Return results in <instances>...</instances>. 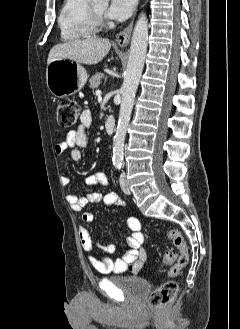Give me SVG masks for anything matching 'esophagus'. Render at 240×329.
<instances>
[{"mask_svg": "<svg viewBox=\"0 0 240 329\" xmlns=\"http://www.w3.org/2000/svg\"><path fill=\"white\" fill-rule=\"evenodd\" d=\"M138 3H139V0H137V3H136L135 15H136ZM135 15H134V18H135ZM134 18L130 22V24L124 30H122L116 37V42L121 47L126 46L129 43L132 29H133Z\"/></svg>", "mask_w": 240, "mask_h": 329, "instance_id": "1", "label": "esophagus"}]
</instances>
